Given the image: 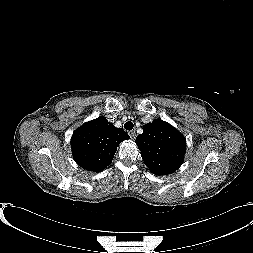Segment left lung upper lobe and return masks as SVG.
Returning a JSON list of instances; mask_svg holds the SVG:
<instances>
[{
  "mask_svg": "<svg viewBox=\"0 0 253 253\" xmlns=\"http://www.w3.org/2000/svg\"><path fill=\"white\" fill-rule=\"evenodd\" d=\"M136 144L146 166L155 175L174 173L182 165L186 139L169 123L155 119L143 127Z\"/></svg>",
  "mask_w": 253,
  "mask_h": 253,
  "instance_id": "5c2ea615",
  "label": "left lung upper lobe"
}]
</instances>
